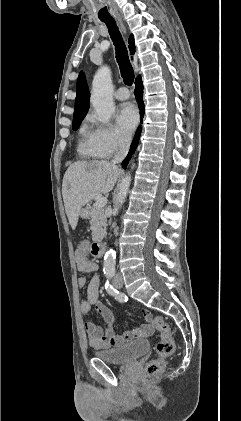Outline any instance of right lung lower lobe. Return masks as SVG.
I'll list each match as a JSON object with an SVG mask.
<instances>
[{
  "label": "right lung lower lobe",
  "mask_w": 241,
  "mask_h": 421,
  "mask_svg": "<svg viewBox=\"0 0 241 421\" xmlns=\"http://www.w3.org/2000/svg\"><path fill=\"white\" fill-rule=\"evenodd\" d=\"M135 84H136L135 96H136V100H137L139 108H140V115H141V122H142V118H143V115H144V102H143V99H142L143 84H142V80H141L140 75L136 78ZM140 132H141V126H139V128L136 132V135H135L134 140H133L132 145H131V150L129 151L127 157L122 162V166H123L124 169L126 168L132 154L134 153V151L137 147L138 140H139V137H140Z\"/></svg>",
  "instance_id": "1"
}]
</instances>
